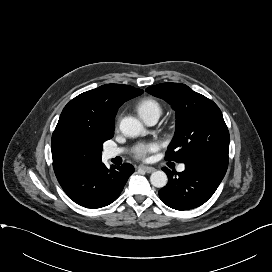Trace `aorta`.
I'll return each mask as SVG.
<instances>
[{
	"mask_svg": "<svg viewBox=\"0 0 272 272\" xmlns=\"http://www.w3.org/2000/svg\"><path fill=\"white\" fill-rule=\"evenodd\" d=\"M121 132L128 137H136L144 133L142 123L131 116L124 117L120 122ZM150 182L154 187L163 188L168 182V178L165 172L155 171L150 176Z\"/></svg>",
	"mask_w": 272,
	"mask_h": 272,
	"instance_id": "762f6f07",
	"label": "aorta"
}]
</instances>
